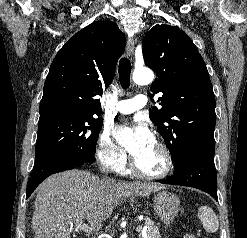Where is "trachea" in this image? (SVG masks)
I'll return each mask as SVG.
<instances>
[{"mask_svg":"<svg viewBox=\"0 0 247 238\" xmlns=\"http://www.w3.org/2000/svg\"><path fill=\"white\" fill-rule=\"evenodd\" d=\"M131 63L126 57L122 58L119 62V79L123 89H127L130 86V73Z\"/></svg>","mask_w":247,"mask_h":238,"instance_id":"3493384b","label":"trachea"}]
</instances>
